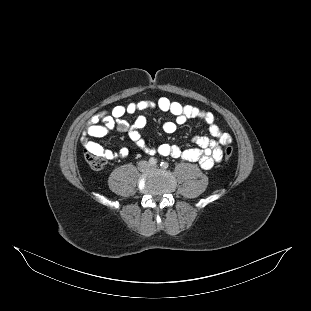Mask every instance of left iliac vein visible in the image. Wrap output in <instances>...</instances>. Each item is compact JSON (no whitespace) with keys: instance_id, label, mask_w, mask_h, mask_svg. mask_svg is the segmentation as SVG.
I'll use <instances>...</instances> for the list:
<instances>
[{"instance_id":"obj_1","label":"left iliac vein","mask_w":311,"mask_h":311,"mask_svg":"<svg viewBox=\"0 0 311 311\" xmlns=\"http://www.w3.org/2000/svg\"><path fill=\"white\" fill-rule=\"evenodd\" d=\"M151 168H152V169H155V168H157V165L151 166Z\"/></svg>"}]
</instances>
